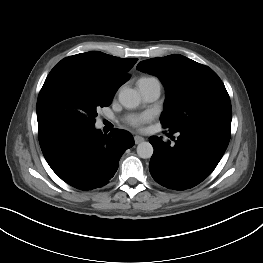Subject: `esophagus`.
I'll return each instance as SVG.
<instances>
[{
  "label": "esophagus",
  "mask_w": 263,
  "mask_h": 263,
  "mask_svg": "<svg viewBox=\"0 0 263 263\" xmlns=\"http://www.w3.org/2000/svg\"><path fill=\"white\" fill-rule=\"evenodd\" d=\"M134 141H135L136 144H139V143L144 141V138L142 136L135 135L134 136Z\"/></svg>",
  "instance_id": "1"
}]
</instances>
